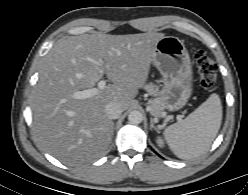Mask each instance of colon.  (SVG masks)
Here are the masks:
<instances>
[{"label": "colon", "instance_id": "5ec220e1", "mask_svg": "<svg viewBox=\"0 0 248 195\" xmlns=\"http://www.w3.org/2000/svg\"><path fill=\"white\" fill-rule=\"evenodd\" d=\"M193 59L199 75L200 84L205 89H211L217 79L216 63L202 50H193Z\"/></svg>", "mask_w": 248, "mask_h": 195}]
</instances>
